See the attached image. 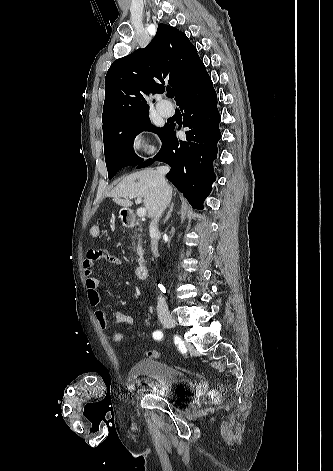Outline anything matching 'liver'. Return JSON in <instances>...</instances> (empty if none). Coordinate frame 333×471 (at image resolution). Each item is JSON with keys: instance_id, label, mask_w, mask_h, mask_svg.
<instances>
[{"instance_id": "obj_1", "label": "liver", "mask_w": 333, "mask_h": 471, "mask_svg": "<svg viewBox=\"0 0 333 471\" xmlns=\"http://www.w3.org/2000/svg\"><path fill=\"white\" fill-rule=\"evenodd\" d=\"M172 194V187L168 185ZM161 195V185L156 170L145 169L126 176L111 192L109 197L122 207H131L132 198L142 197L149 218H154Z\"/></svg>"}]
</instances>
